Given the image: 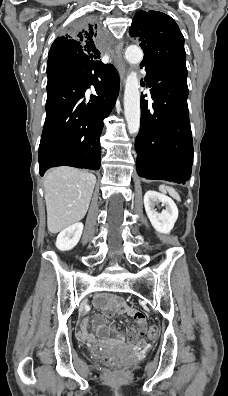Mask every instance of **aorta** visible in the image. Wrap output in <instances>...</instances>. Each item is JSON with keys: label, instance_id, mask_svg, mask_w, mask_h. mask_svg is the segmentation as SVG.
Instances as JSON below:
<instances>
[{"label": "aorta", "instance_id": "1", "mask_svg": "<svg viewBox=\"0 0 228 396\" xmlns=\"http://www.w3.org/2000/svg\"><path fill=\"white\" fill-rule=\"evenodd\" d=\"M125 58L131 64H139L143 59L140 47L129 46L125 51ZM136 72L131 71L127 76L124 90V113L130 134H137L140 129V91Z\"/></svg>", "mask_w": 228, "mask_h": 396}]
</instances>
